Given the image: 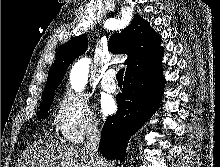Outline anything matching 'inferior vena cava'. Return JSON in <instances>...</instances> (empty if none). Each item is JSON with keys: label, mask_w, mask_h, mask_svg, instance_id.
<instances>
[{"label": "inferior vena cava", "mask_w": 220, "mask_h": 167, "mask_svg": "<svg viewBox=\"0 0 220 167\" xmlns=\"http://www.w3.org/2000/svg\"><path fill=\"white\" fill-rule=\"evenodd\" d=\"M100 142V132L97 123H89L86 131V142L83 149L93 158L98 164H101V159L97 153Z\"/></svg>", "instance_id": "obj_1"}]
</instances>
